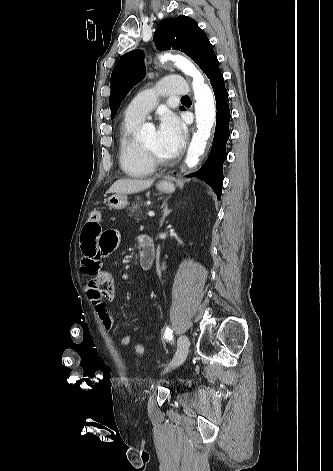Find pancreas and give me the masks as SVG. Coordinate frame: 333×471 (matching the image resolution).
Instances as JSON below:
<instances>
[{"instance_id": "pancreas-1", "label": "pancreas", "mask_w": 333, "mask_h": 471, "mask_svg": "<svg viewBox=\"0 0 333 471\" xmlns=\"http://www.w3.org/2000/svg\"><path fill=\"white\" fill-rule=\"evenodd\" d=\"M140 206H146L144 202L142 201H137L134 204H132V207L130 208V216H133L134 213L138 212ZM137 220L140 219L143 215L141 213H137L134 215Z\"/></svg>"}]
</instances>
